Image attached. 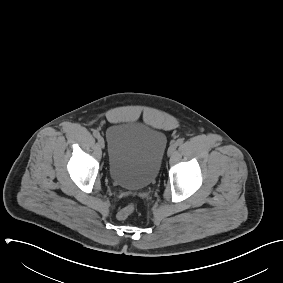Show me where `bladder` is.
Returning <instances> with one entry per match:
<instances>
[{
	"mask_svg": "<svg viewBox=\"0 0 283 283\" xmlns=\"http://www.w3.org/2000/svg\"><path fill=\"white\" fill-rule=\"evenodd\" d=\"M108 171L112 181L141 190L156 179L167 146L163 131L143 123H120L106 132Z\"/></svg>",
	"mask_w": 283,
	"mask_h": 283,
	"instance_id": "obj_1",
	"label": "bladder"
}]
</instances>
